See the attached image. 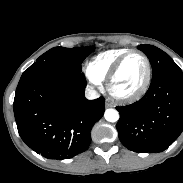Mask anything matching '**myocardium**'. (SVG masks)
<instances>
[{
    "label": "myocardium",
    "mask_w": 183,
    "mask_h": 183,
    "mask_svg": "<svg viewBox=\"0 0 183 183\" xmlns=\"http://www.w3.org/2000/svg\"><path fill=\"white\" fill-rule=\"evenodd\" d=\"M131 54H139L143 58L146 66V75L142 85L136 91L129 94H120L113 89L112 83L119 69L121 68L123 62ZM151 78H152V68H151L150 60L147 57V55L139 49H130L127 52H125L122 56H120L110 68L105 80L106 89L110 94V96L117 101L124 102V103L134 102L140 99L148 91L151 83Z\"/></svg>",
    "instance_id": "f54148a6"
}]
</instances>
